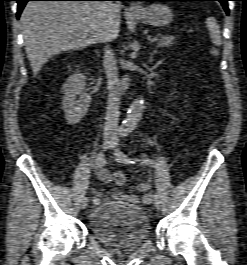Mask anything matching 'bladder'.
<instances>
[{
  "label": "bladder",
  "instance_id": "obj_1",
  "mask_svg": "<svg viewBox=\"0 0 247 265\" xmlns=\"http://www.w3.org/2000/svg\"><path fill=\"white\" fill-rule=\"evenodd\" d=\"M89 229L94 238L113 248H130L147 239L150 232L146 211L119 201L99 203L89 214Z\"/></svg>",
  "mask_w": 247,
  "mask_h": 265
}]
</instances>
